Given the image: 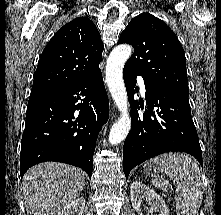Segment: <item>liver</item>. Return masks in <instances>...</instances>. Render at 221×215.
<instances>
[{"label":"liver","instance_id":"1","mask_svg":"<svg viewBox=\"0 0 221 215\" xmlns=\"http://www.w3.org/2000/svg\"><path fill=\"white\" fill-rule=\"evenodd\" d=\"M85 185L81 169L58 162L30 168L23 177L27 215H56L80 195Z\"/></svg>","mask_w":221,"mask_h":215}]
</instances>
